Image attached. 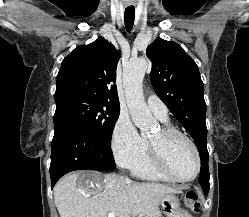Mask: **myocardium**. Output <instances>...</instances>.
I'll return each mask as SVG.
<instances>
[{"mask_svg": "<svg viewBox=\"0 0 249 217\" xmlns=\"http://www.w3.org/2000/svg\"><path fill=\"white\" fill-rule=\"evenodd\" d=\"M161 135L165 140H170L173 138H181L185 140L190 147L192 148L195 158H196V169L193 173L192 176L187 177V178H181L176 176L169 168L167 159H166V154L164 152L163 146L157 145L152 143L151 141L149 142V153L151 156V160L153 165L156 167V169L162 173L164 176H166L168 179L175 181V182H190L194 180L200 170H201V156L200 152L198 150V147L194 143V141L185 133L182 131L173 128V127H164L161 130Z\"/></svg>", "mask_w": 249, "mask_h": 217, "instance_id": "1", "label": "myocardium"}]
</instances>
